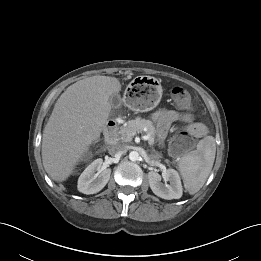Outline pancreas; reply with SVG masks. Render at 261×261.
Masks as SVG:
<instances>
[{
	"mask_svg": "<svg viewBox=\"0 0 261 261\" xmlns=\"http://www.w3.org/2000/svg\"><path fill=\"white\" fill-rule=\"evenodd\" d=\"M143 131L146 132L147 136H149V145L152 146L155 143V137H156V130L155 127L153 125V122L150 120H146V119H142L140 117H137L134 120H130L127 122V124L123 127L120 128L118 134H119V138L122 142H130L131 141V137L128 134L130 133H142ZM155 152V155L153 156V158H160L161 154L156 152L155 150H153Z\"/></svg>",
	"mask_w": 261,
	"mask_h": 261,
	"instance_id": "1",
	"label": "pancreas"
}]
</instances>
